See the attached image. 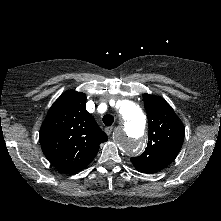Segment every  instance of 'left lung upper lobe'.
<instances>
[{
    "mask_svg": "<svg viewBox=\"0 0 221 221\" xmlns=\"http://www.w3.org/2000/svg\"><path fill=\"white\" fill-rule=\"evenodd\" d=\"M148 115V144L138 157L131 158L136 169L155 173L168 166L178 155L185 136L182 121L161 97L143 94Z\"/></svg>",
    "mask_w": 221,
    "mask_h": 221,
    "instance_id": "1",
    "label": "left lung upper lobe"
}]
</instances>
